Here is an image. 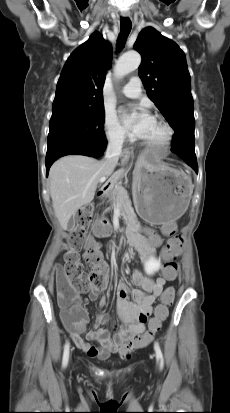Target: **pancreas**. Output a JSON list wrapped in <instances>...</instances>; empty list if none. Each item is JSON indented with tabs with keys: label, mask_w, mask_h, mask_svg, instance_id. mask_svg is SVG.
Here are the masks:
<instances>
[{
	"label": "pancreas",
	"mask_w": 230,
	"mask_h": 413,
	"mask_svg": "<svg viewBox=\"0 0 230 413\" xmlns=\"http://www.w3.org/2000/svg\"><path fill=\"white\" fill-rule=\"evenodd\" d=\"M106 196L109 198L111 208L118 206L122 212L125 213V222L127 225L132 226L134 229L139 230L140 223L137 220L129 199L127 191L120 185H116L112 188Z\"/></svg>",
	"instance_id": "obj_1"
}]
</instances>
